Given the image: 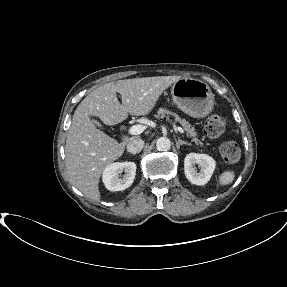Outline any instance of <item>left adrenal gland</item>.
Listing matches in <instances>:
<instances>
[{"instance_id":"obj_1","label":"left adrenal gland","mask_w":287,"mask_h":287,"mask_svg":"<svg viewBox=\"0 0 287 287\" xmlns=\"http://www.w3.org/2000/svg\"><path fill=\"white\" fill-rule=\"evenodd\" d=\"M178 145L182 146V145H191V143L185 142L183 140H181L180 138L177 139Z\"/></svg>"}]
</instances>
